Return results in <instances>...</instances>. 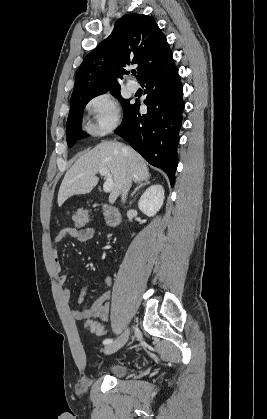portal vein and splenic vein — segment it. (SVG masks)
<instances>
[{
  "instance_id": "1",
  "label": "portal vein and splenic vein",
  "mask_w": 267,
  "mask_h": 419,
  "mask_svg": "<svg viewBox=\"0 0 267 419\" xmlns=\"http://www.w3.org/2000/svg\"><path fill=\"white\" fill-rule=\"evenodd\" d=\"M99 173L101 176L106 177V181L104 182V185H103L104 192L106 193L111 192L114 186V182H113L112 175L110 174L109 170L107 168H102L99 170Z\"/></svg>"
}]
</instances>
